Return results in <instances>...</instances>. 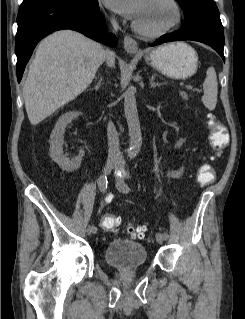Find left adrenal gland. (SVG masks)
I'll return each mask as SVG.
<instances>
[{
  "instance_id": "a2214340",
  "label": "left adrenal gland",
  "mask_w": 245,
  "mask_h": 319,
  "mask_svg": "<svg viewBox=\"0 0 245 319\" xmlns=\"http://www.w3.org/2000/svg\"><path fill=\"white\" fill-rule=\"evenodd\" d=\"M155 77H156V75L153 74L152 77H151V79H150V85H151V87H156V86H161V85H163V83L155 82Z\"/></svg>"
}]
</instances>
